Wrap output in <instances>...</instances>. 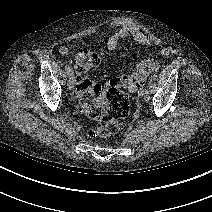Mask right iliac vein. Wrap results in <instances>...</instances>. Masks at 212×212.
I'll use <instances>...</instances> for the list:
<instances>
[{
	"mask_svg": "<svg viewBox=\"0 0 212 212\" xmlns=\"http://www.w3.org/2000/svg\"><path fill=\"white\" fill-rule=\"evenodd\" d=\"M68 88L70 91L74 89V78L73 76H70L68 79Z\"/></svg>",
	"mask_w": 212,
	"mask_h": 212,
	"instance_id": "right-iliac-vein-1",
	"label": "right iliac vein"
}]
</instances>
